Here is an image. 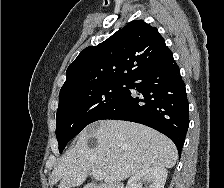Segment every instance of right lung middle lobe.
<instances>
[{
	"mask_svg": "<svg viewBox=\"0 0 224 188\" xmlns=\"http://www.w3.org/2000/svg\"><path fill=\"white\" fill-rule=\"evenodd\" d=\"M130 81H109L61 91L56 137L59 152L88 124L100 120L127 96Z\"/></svg>",
	"mask_w": 224,
	"mask_h": 188,
	"instance_id": "obj_1",
	"label": "right lung middle lobe"
}]
</instances>
